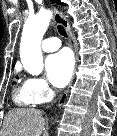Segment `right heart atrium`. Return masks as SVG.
Masks as SVG:
<instances>
[{
	"mask_svg": "<svg viewBox=\"0 0 117 136\" xmlns=\"http://www.w3.org/2000/svg\"><path fill=\"white\" fill-rule=\"evenodd\" d=\"M25 83L35 104L45 103L53 95L52 89L43 78L31 77Z\"/></svg>",
	"mask_w": 117,
	"mask_h": 136,
	"instance_id": "d8ad5b80",
	"label": "right heart atrium"
}]
</instances>
